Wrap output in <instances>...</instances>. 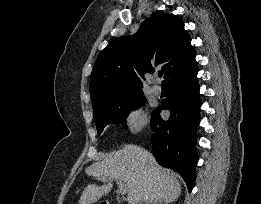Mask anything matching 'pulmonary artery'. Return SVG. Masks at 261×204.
Instances as JSON below:
<instances>
[{
  "mask_svg": "<svg viewBox=\"0 0 261 204\" xmlns=\"http://www.w3.org/2000/svg\"><path fill=\"white\" fill-rule=\"evenodd\" d=\"M152 91L155 95H160L162 92V89H161L160 85L154 84L152 87Z\"/></svg>",
  "mask_w": 261,
  "mask_h": 204,
  "instance_id": "1",
  "label": "pulmonary artery"
}]
</instances>
